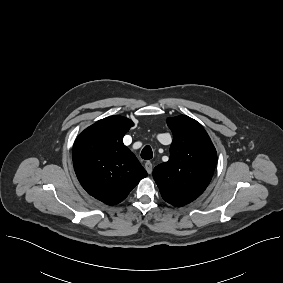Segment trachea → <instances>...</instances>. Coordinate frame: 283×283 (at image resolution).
<instances>
[{
	"label": "trachea",
	"instance_id": "trachea-1",
	"mask_svg": "<svg viewBox=\"0 0 283 283\" xmlns=\"http://www.w3.org/2000/svg\"><path fill=\"white\" fill-rule=\"evenodd\" d=\"M141 157L145 160H149L153 157L152 149L149 145H146L141 152Z\"/></svg>",
	"mask_w": 283,
	"mask_h": 283
}]
</instances>
